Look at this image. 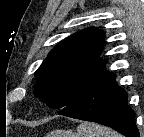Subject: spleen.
I'll return each mask as SVG.
<instances>
[{
	"label": "spleen",
	"mask_w": 144,
	"mask_h": 137,
	"mask_svg": "<svg viewBox=\"0 0 144 137\" xmlns=\"http://www.w3.org/2000/svg\"><path fill=\"white\" fill-rule=\"evenodd\" d=\"M64 137H122L119 133L116 131L93 123V122H82L78 127L76 128V132H73L71 130L64 131L63 132Z\"/></svg>",
	"instance_id": "obj_1"
}]
</instances>
